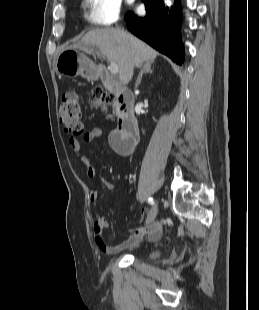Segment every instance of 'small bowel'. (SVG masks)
Listing matches in <instances>:
<instances>
[{"instance_id":"small-bowel-1","label":"small bowel","mask_w":259,"mask_h":310,"mask_svg":"<svg viewBox=\"0 0 259 310\" xmlns=\"http://www.w3.org/2000/svg\"><path fill=\"white\" fill-rule=\"evenodd\" d=\"M102 135V129L99 127H95L90 131L86 132L82 136V140L86 143H92L100 138ZM69 145L73 151V153L79 158L81 164L85 168V172L89 178H97V172L95 169L94 164L91 160L82 154L81 152V143L78 139L70 137L69 138ZM101 183L111 192L116 189V185L101 180ZM98 198V194L96 191H92L89 195V201L95 202ZM141 212H144V209H141ZM109 226V221L104 216H96L93 221V233L94 239L98 249L105 254L113 255L117 254L120 251L133 249L137 247L143 238L148 239L149 241H157L159 240L161 233H162V226L160 223H148L144 229L141 230H129V236L117 243L115 245H108L104 239V229Z\"/></svg>"}]
</instances>
